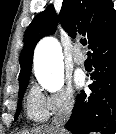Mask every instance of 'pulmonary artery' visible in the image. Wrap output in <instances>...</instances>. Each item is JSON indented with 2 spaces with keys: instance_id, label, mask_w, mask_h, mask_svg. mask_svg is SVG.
Instances as JSON below:
<instances>
[{
  "instance_id": "pulmonary-artery-1",
  "label": "pulmonary artery",
  "mask_w": 116,
  "mask_h": 134,
  "mask_svg": "<svg viewBox=\"0 0 116 134\" xmlns=\"http://www.w3.org/2000/svg\"><path fill=\"white\" fill-rule=\"evenodd\" d=\"M73 60L78 65H83L86 61L85 56L81 53L79 46H76L73 52Z\"/></svg>"
}]
</instances>
